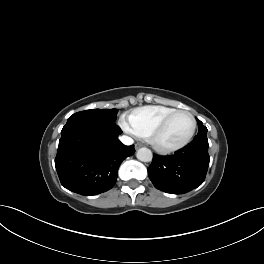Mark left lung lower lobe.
Wrapping results in <instances>:
<instances>
[{
  "label": "left lung lower lobe",
  "instance_id": "obj_1",
  "mask_svg": "<svg viewBox=\"0 0 264 264\" xmlns=\"http://www.w3.org/2000/svg\"><path fill=\"white\" fill-rule=\"evenodd\" d=\"M206 135H197L186 147L173 155H153L148 175L158 190L172 194H183L200 186L208 170Z\"/></svg>",
  "mask_w": 264,
  "mask_h": 264
}]
</instances>
